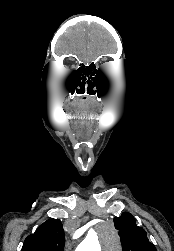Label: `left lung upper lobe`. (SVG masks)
I'll return each instance as SVG.
<instances>
[{
  "instance_id": "1",
  "label": "left lung upper lobe",
  "mask_w": 174,
  "mask_h": 251,
  "mask_svg": "<svg viewBox=\"0 0 174 251\" xmlns=\"http://www.w3.org/2000/svg\"><path fill=\"white\" fill-rule=\"evenodd\" d=\"M114 225L119 230L123 251H157L149 242L145 230L136 225L130 213L124 212L120 217H115Z\"/></svg>"
}]
</instances>
